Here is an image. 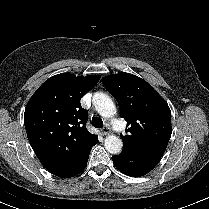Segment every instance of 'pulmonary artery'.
<instances>
[{"mask_svg":"<svg viewBox=\"0 0 209 209\" xmlns=\"http://www.w3.org/2000/svg\"><path fill=\"white\" fill-rule=\"evenodd\" d=\"M113 128L118 133H120L123 130V128H122V126L120 124V121L118 119H115L114 120V122H113Z\"/></svg>","mask_w":209,"mask_h":209,"instance_id":"obj_1","label":"pulmonary artery"}]
</instances>
